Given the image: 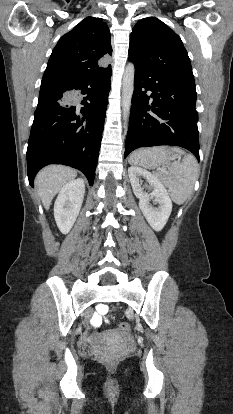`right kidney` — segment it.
I'll list each match as a JSON object with an SVG mask.
<instances>
[{
    "label": "right kidney",
    "mask_w": 233,
    "mask_h": 414,
    "mask_svg": "<svg viewBox=\"0 0 233 414\" xmlns=\"http://www.w3.org/2000/svg\"><path fill=\"white\" fill-rule=\"evenodd\" d=\"M85 194L84 180L79 178L65 184L54 204V217L59 230L69 233L80 212Z\"/></svg>",
    "instance_id": "ca27d5eb"
}]
</instances>
